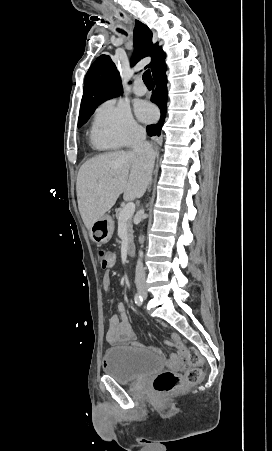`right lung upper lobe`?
Instances as JSON below:
<instances>
[{"label":"right lung upper lobe","mask_w":272,"mask_h":451,"mask_svg":"<svg viewBox=\"0 0 272 451\" xmlns=\"http://www.w3.org/2000/svg\"><path fill=\"white\" fill-rule=\"evenodd\" d=\"M133 40L135 54L132 65L140 58L151 56L152 61L147 67L153 73L157 66L165 60L162 48L157 43L152 44V32L137 20ZM121 93L120 76L115 64L108 55H101L94 61L86 74L80 111L96 108L102 102L119 96Z\"/></svg>","instance_id":"cb5924a9"}]
</instances>
